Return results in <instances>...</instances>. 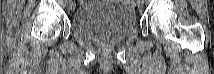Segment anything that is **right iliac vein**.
<instances>
[{
  "label": "right iliac vein",
  "instance_id": "63e3f726",
  "mask_svg": "<svg viewBox=\"0 0 214 74\" xmlns=\"http://www.w3.org/2000/svg\"><path fill=\"white\" fill-rule=\"evenodd\" d=\"M69 8H70L71 10H74V9H75V4H74L73 2H71V3L69 4Z\"/></svg>",
  "mask_w": 214,
  "mask_h": 74
}]
</instances>
